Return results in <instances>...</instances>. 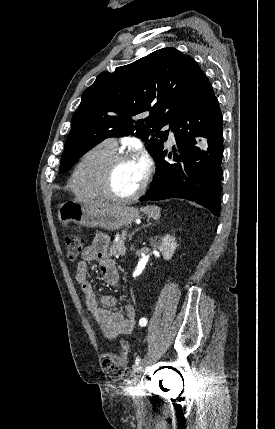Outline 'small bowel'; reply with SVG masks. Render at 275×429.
<instances>
[{
    "label": "small bowel",
    "mask_w": 275,
    "mask_h": 429,
    "mask_svg": "<svg viewBox=\"0 0 275 429\" xmlns=\"http://www.w3.org/2000/svg\"><path fill=\"white\" fill-rule=\"evenodd\" d=\"M108 247L109 237L104 233H97L93 243L87 246L82 253V259L77 264L75 278L85 297L87 310L100 327L103 337L113 340L133 332L137 322L136 307L132 303H126L121 311H113L116 298L111 295L96 298L88 279L87 264L95 261L105 282L111 286H117L119 274L115 264L108 257Z\"/></svg>",
    "instance_id": "c3829d8e"
}]
</instances>
